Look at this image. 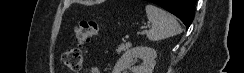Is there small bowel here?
<instances>
[{"label":"small bowel","mask_w":244,"mask_h":73,"mask_svg":"<svg viewBox=\"0 0 244 73\" xmlns=\"http://www.w3.org/2000/svg\"><path fill=\"white\" fill-rule=\"evenodd\" d=\"M87 72L88 73H101L100 70L95 67V66H90L88 69H87Z\"/></svg>","instance_id":"c3829d8e"}]
</instances>
